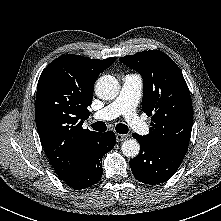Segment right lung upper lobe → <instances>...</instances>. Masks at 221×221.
Here are the masks:
<instances>
[{
    "label": "right lung upper lobe",
    "mask_w": 221,
    "mask_h": 221,
    "mask_svg": "<svg viewBox=\"0 0 221 221\" xmlns=\"http://www.w3.org/2000/svg\"><path fill=\"white\" fill-rule=\"evenodd\" d=\"M115 61L63 55L41 73L37 85L35 121L44 151L65 180L81 166L98 133L83 129L90 115L93 86L98 75Z\"/></svg>",
    "instance_id": "cb5924a9"
}]
</instances>
